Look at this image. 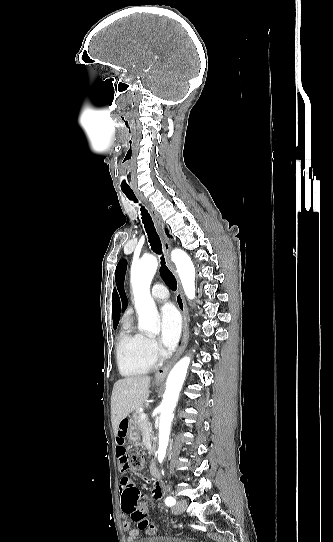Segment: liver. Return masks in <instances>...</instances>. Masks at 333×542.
I'll list each match as a JSON object with an SVG mask.
<instances>
[{"mask_svg":"<svg viewBox=\"0 0 333 542\" xmlns=\"http://www.w3.org/2000/svg\"><path fill=\"white\" fill-rule=\"evenodd\" d=\"M150 376H124L113 386L111 422L114 436H118L121 420L141 408L149 398Z\"/></svg>","mask_w":333,"mask_h":542,"instance_id":"obj_1","label":"liver"}]
</instances>
